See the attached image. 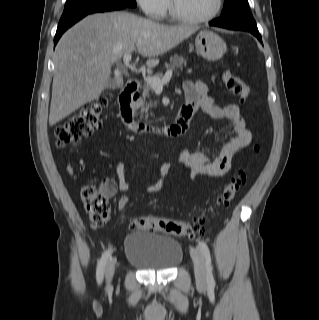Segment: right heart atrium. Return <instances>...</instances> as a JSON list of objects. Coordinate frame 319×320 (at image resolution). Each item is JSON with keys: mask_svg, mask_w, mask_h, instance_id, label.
<instances>
[{"mask_svg": "<svg viewBox=\"0 0 319 320\" xmlns=\"http://www.w3.org/2000/svg\"><path fill=\"white\" fill-rule=\"evenodd\" d=\"M143 12L152 18L163 17L168 9V0H136Z\"/></svg>", "mask_w": 319, "mask_h": 320, "instance_id": "obj_1", "label": "right heart atrium"}]
</instances>
